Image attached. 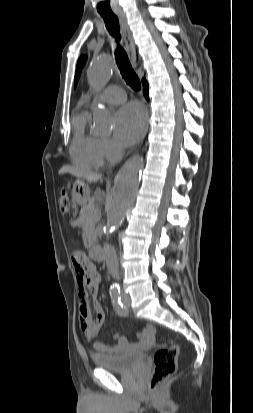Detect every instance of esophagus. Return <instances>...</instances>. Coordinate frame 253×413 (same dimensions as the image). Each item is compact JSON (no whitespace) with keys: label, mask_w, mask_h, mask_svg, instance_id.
<instances>
[{"label":"esophagus","mask_w":253,"mask_h":413,"mask_svg":"<svg viewBox=\"0 0 253 413\" xmlns=\"http://www.w3.org/2000/svg\"><path fill=\"white\" fill-rule=\"evenodd\" d=\"M121 26H122V31H123V37L125 41V48L127 55L132 62L133 66L136 67V62H135V44L132 36V32L129 28L127 18L123 12H118L117 13Z\"/></svg>","instance_id":"esophagus-1"}]
</instances>
